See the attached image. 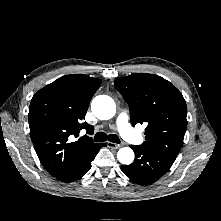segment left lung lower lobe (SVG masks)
Instances as JSON below:
<instances>
[{"label":"left lung lower lobe","instance_id":"left-lung-lower-lobe-1","mask_svg":"<svg viewBox=\"0 0 221 221\" xmlns=\"http://www.w3.org/2000/svg\"><path fill=\"white\" fill-rule=\"evenodd\" d=\"M135 153V160L130 165H122L121 170L139 185L157 181L172 166L176 157L146 148L142 145L130 146Z\"/></svg>","mask_w":221,"mask_h":221}]
</instances>
